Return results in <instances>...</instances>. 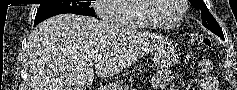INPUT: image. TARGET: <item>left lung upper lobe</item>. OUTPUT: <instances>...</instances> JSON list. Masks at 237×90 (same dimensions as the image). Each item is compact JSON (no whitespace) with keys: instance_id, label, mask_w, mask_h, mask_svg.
<instances>
[{"instance_id":"1","label":"left lung upper lobe","mask_w":237,"mask_h":90,"mask_svg":"<svg viewBox=\"0 0 237 90\" xmlns=\"http://www.w3.org/2000/svg\"><path fill=\"white\" fill-rule=\"evenodd\" d=\"M191 2V5L195 9L201 10V18L202 25L205 26L207 29L224 39L222 29L220 28L217 21L214 19V17L210 14L208 8L206 7L205 3L202 0H189Z\"/></svg>"}]
</instances>
